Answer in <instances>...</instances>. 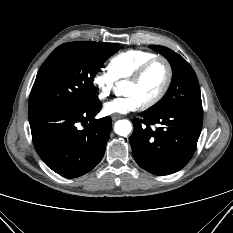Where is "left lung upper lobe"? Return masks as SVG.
<instances>
[{
    "instance_id": "obj_1",
    "label": "left lung upper lobe",
    "mask_w": 233,
    "mask_h": 233,
    "mask_svg": "<svg viewBox=\"0 0 233 233\" xmlns=\"http://www.w3.org/2000/svg\"><path fill=\"white\" fill-rule=\"evenodd\" d=\"M150 48L161 53L171 64L173 77L167 94L146 112L160 114L179 107L201 108V93L196 74L190 64L178 53L158 45Z\"/></svg>"
}]
</instances>
